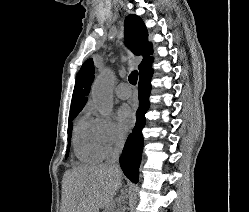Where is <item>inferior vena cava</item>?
Here are the masks:
<instances>
[{"label": "inferior vena cava", "mask_w": 249, "mask_h": 212, "mask_svg": "<svg viewBox=\"0 0 249 212\" xmlns=\"http://www.w3.org/2000/svg\"><path fill=\"white\" fill-rule=\"evenodd\" d=\"M123 146L124 138H120V140H115L114 148L113 150H111V160L109 162L112 168H119V158L123 150Z\"/></svg>", "instance_id": "602c4592"}]
</instances>
